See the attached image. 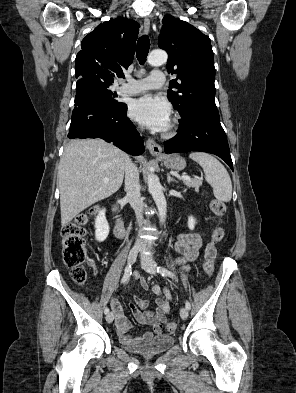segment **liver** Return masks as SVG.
Segmentation results:
<instances>
[{"label": "liver", "mask_w": 296, "mask_h": 393, "mask_svg": "<svg viewBox=\"0 0 296 393\" xmlns=\"http://www.w3.org/2000/svg\"><path fill=\"white\" fill-rule=\"evenodd\" d=\"M126 158L122 150L102 139L73 140L65 146L58 168L62 227L119 190Z\"/></svg>", "instance_id": "obj_1"}]
</instances>
